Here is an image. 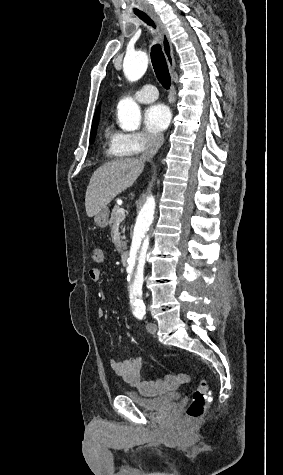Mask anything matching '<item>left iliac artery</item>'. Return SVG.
<instances>
[{
  "label": "left iliac artery",
  "mask_w": 283,
  "mask_h": 475,
  "mask_svg": "<svg viewBox=\"0 0 283 475\" xmlns=\"http://www.w3.org/2000/svg\"><path fill=\"white\" fill-rule=\"evenodd\" d=\"M144 315H145V310H141V311L135 312V316H136L138 319H140V320L143 319Z\"/></svg>",
  "instance_id": "1"
}]
</instances>
